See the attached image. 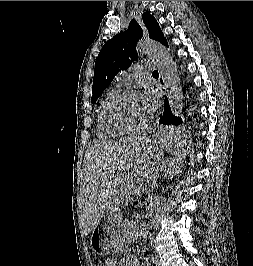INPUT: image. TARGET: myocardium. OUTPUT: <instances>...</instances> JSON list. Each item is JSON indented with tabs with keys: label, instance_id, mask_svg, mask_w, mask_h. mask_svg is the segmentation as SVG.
<instances>
[{
	"label": "myocardium",
	"instance_id": "1",
	"mask_svg": "<svg viewBox=\"0 0 253 266\" xmlns=\"http://www.w3.org/2000/svg\"><path fill=\"white\" fill-rule=\"evenodd\" d=\"M138 94H139V92L137 90L126 89V90H123V91L119 92L118 94H116L110 100V102L107 104V106L105 108L104 117H103L104 118V124L108 129L115 131L117 133H120V134L132 133L134 131H138L141 127H143L147 123V120H144L142 123H140L136 126L126 127V126H123V125L119 124L118 122H116L114 120V117H113V112L121 100H123L127 96L138 95Z\"/></svg>",
	"mask_w": 253,
	"mask_h": 266
}]
</instances>
